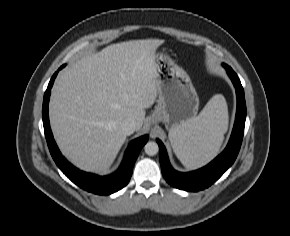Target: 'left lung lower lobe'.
Returning <instances> with one entry per match:
<instances>
[{
  "label": "left lung lower lobe",
  "instance_id": "0a47b994",
  "mask_svg": "<svg viewBox=\"0 0 290 236\" xmlns=\"http://www.w3.org/2000/svg\"><path fill=\"white\" fill-rule=\"evenodd\" d=\"M223 66L233 82L237 95L236 119L230 140L225 150L207 166L193 172L181 173L171 167L166 149L163 143L157 139L163 176L165 180L175 188L185 191H199L209 187L233 164L240 150L246 119L244 90L237 74H235L229 66L225 64Z\"/></svg>",
  "mask_w": 290,
  "mask_h": 236
}]
</instances>
